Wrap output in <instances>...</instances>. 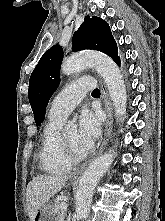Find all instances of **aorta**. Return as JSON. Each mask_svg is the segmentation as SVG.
I'll use <instances>...</instances> for the list:
<instances>
[{"mask_svg":"<svg viewBox=\"0 0 165 221\" xmlns=\"http://www.w3.org/2000/svg\"><path fill=\"white\" fill-rule=\"evenodd\" d=\"M87 66H93L104 79L115 113L124 119L127 105V94L124 80L116 63L102 53H84L73 55L63 61L61 72L65 75L78 73ZM68 126H73L69 123ZM113 162V154L107 153L95 159L83 173L75 197V210L78 218L86 219L89 214L93 192L102 176Z\"/></svg>","mask_w":165,"mask_h":221,"instance_id":"762f6f07","label":"aorta"}]
</instances>
